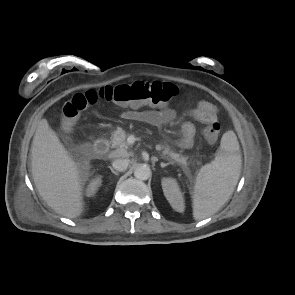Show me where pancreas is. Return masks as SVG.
I'll return each mask as SVG.
<instances>
[{
  "label": "pancreas",
  "mask_w": 295,
  "mask_h": 295,
  "mask_svg": "<svg viewBox=\"0 0 295 295\" xmlns=\"http://www.w3.org/2000/svg\"><path fill=\"white\" fill-rule=\"evenodd\" d=\"M126 138H127V133L121 127H118L112 133V137H111L112 147L120 149L123 153L126 152V148H127ZM156 149L158 151H162L164 158L173 160L184 166L186 165V158L172 151L170 146L164 145V144H157Z\"/></svg>",
  "instance_id": "cf45deb5"
}]
</instances>
